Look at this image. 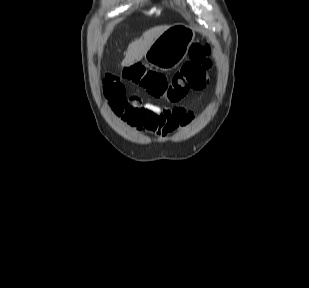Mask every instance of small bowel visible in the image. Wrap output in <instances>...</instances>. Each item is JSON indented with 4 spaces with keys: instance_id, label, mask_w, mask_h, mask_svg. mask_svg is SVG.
<instances>
[{
    "instance_id": "c3829d8e",
    "label": "small bowel",
    "mask_w": 309,
    "mask_h": 288,
    "mask_svg": "<svg viewBox=\"0 0 309 288\" xmlns=\"http://www.w3.org/2000/svg\"><path fill=\"white\" fill-rule=\"evenodd\" d=\"M128 105L131 112L124 115L128 124L157 137H165L179 126L190 124L195 118L193 113L181 106L160 108L146 104L136 96L129 98Z\"/></svg>"
}]
</instances>
